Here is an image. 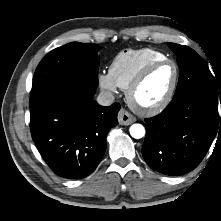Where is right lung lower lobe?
<instances>
[{"instance_id": "right-lung-lower-lobe-1", "label": "right lung lower lobe", "mask_w": 221, "mask_h": 221, "mask_svg": "<svg viewBox=\"0 0 221 221\" xmlns=\"http://www.w3.org/2000/svg\"><path fill=\"white\" fill-rule=\"evenodd\" d=\"M96 87L79 79L63 80L30 103V130L42 158L58 176L91 174L106 150V137L118 124L120 105L100 106Z\"/></svg>"}]
</instances>
